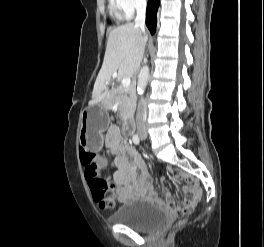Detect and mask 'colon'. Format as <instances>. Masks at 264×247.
Here are the masks:
<instances>
[{"label": "colon", "instance_id": "colon-1", "mask_svg": "<svg viewBox=\"0 0 264 247\" xmlns=\"http://www.w3.org/2000/svg\"><path fill=\"white\" fill-rule=\"evenodd\" d=\"M81 162L86 166L85 178L91 190L93 199L103 208H111L114 205L112 198V183L109 179L99 173V162L97 155L93 152H82L80 155ZM199 195H189L180 202L172 205L174 215L183 216L191 213L197 202Z\"/></svg>", "mask_w": 264, "mask_h": 247}]
</instances>
